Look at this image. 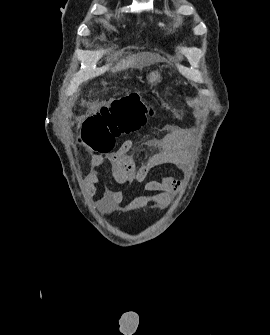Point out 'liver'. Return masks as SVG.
I'll return each mask as SVG.
<instances>
[{
  "instance_id": "liver-1",
  "label": "liver",
  "mask_w": 270,
  "mask_h": 335,
  "mask_svg": "<svg viewBox=\"0 0 270 335\" xmlns=\"http://www.w3.org/2000/svg\"><path fill=\"white\" fill-rule=\"evenodd\" d=\"M137 56H142V54H137ZM137 56H127L125 60H121V62H118L115 68H113V72H118V70H128V68H134V66H137L139 62Z\"/></svg>"
}]
</instances>
